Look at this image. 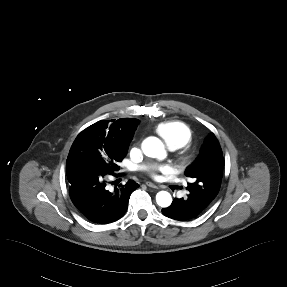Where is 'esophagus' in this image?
<instances>
[{
	"label": "esophagus",
	"mask_w": 287,
	"mask_h": 287,
	"mask_svg": "<svg viewBox=\"0 0 287 287\" xmlns=\"http://www.w3.org/2000/svg\"><path fill=\"white\" fill-rule=\"evenodd\" d=\"M146 185L150 188L159 189L158 186H156L155 184H153L151 182H146Z\"/></svg>",
	"instance_id": "34e87169"
}]
</instances>
